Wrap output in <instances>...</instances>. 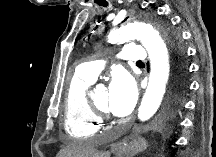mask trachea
<instances>
[{
    "label": "trachea",
    "mask_w": 216,
    "mask_h": 157,
    "mask_svg": "<svg viewBox=\"0 0 216 157\" xmlns=\"http://www.w3.org/2000/svg\"><path fill=\"white\" fill-rule=\"evenodd\" d=\"M100 6L107 7L108 3L106 1H102L98 3ZM137 64H143L142 61H138Z\"/></svg>",
    "instance_id": "obj_1"
}]
</instances>
